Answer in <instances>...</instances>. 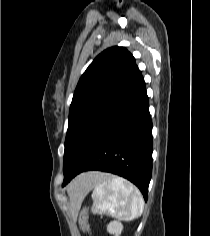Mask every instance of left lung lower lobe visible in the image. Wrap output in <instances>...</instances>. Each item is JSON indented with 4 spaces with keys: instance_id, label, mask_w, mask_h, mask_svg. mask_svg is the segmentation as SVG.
Instances as JSON below:
<instances>
[{
    "instance_id": "obj_1",
    "label": "left lung lower lobe",
    "mask_w": 210,
    "mask_h": 236,
    "mask_svg": "<svg viewBox=\"0 0 210 236\" xmlns=\"http://www.w3.org/2000/svg\"><path fill=\"white\" fill-rule=\"evenodd\" d=\"M152 151V121L140 75L79 136L64 162L63 186L83 171H106L133 182L147 201Z\"/></svg>"
}]
</instances>
